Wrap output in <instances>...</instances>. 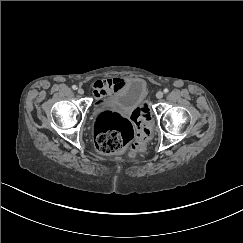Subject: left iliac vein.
Returning <instances> with one entry per match:
<instances>
[{"label": "left iliac vein", "instance_id": "left-iliac-vein-1", "mask_svg": "<svg viewBox=\"0 0 243 243\" xmlns=\"http://www.w3.org/2000/svg\"><path fill=\"white\" fill-rule=\"evenodd\" d=\"M156 97H157V99H161L163 97V92L162 91H158L156 93Z\"/></svg>", "mask_w": 243, "mask_h": 243}]
</instances>
